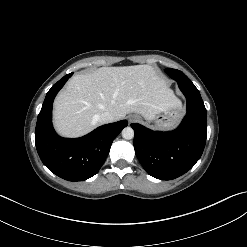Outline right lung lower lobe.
<instances>
[{
    "label": "right lung lower lobe",
    "mask_w": 247,
    "mask_h": 247,
    "mask_svg": "<svg viewBox=\"0 0 247 247\" xmlns=\"http://www.w3.org/2000/svg\"><path fill=\"white\" fill-rule=\"evenodd\" d=\"M72 74L65 75L48 91L37 119L35 144L40 159L50 171L68 181H83L99 171L113 140L128 122L100 126L81 138L58 136L52 126L53 100Z\"/></svg>",
    "instance_id": "98d812e1"
}]
</instances>
